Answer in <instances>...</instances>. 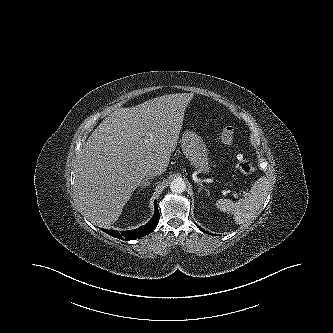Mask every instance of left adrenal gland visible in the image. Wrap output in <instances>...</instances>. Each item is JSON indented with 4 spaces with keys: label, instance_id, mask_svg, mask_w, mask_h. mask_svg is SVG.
I'll use <instances>...</instances> for the list:
<instances>
[{
    "label": "left adrenal gland",
    "instance_id": "1",
    "mask_svg": "<svg viewBox=\"0 0 333 333\" xmlns=\"http://www.w3.org/2000/svg\"><path fill=\"white\" fill-rule=\"evenodd\" d=\"M197 184L199 185L198 192L205 190L209 194V190L204 188V185L201 182H197Z\"/></svg>",
    "mask_w": 333,
    "mask_h": 333
}]
</instances>
